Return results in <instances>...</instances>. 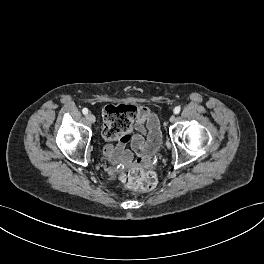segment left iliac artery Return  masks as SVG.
Returning a JSON list of instances; mask_svg holds the SVG:
<instances>
[{
	"label": "left iliac artery",
	"mask_w": 264,
	"mask_h": 264,
	"mask_svg": "<svg viewBox=\"0 0 264 264\" xmlns=\"http://www.w3.org/2000/svg\"><path fill=\"white\" fill-rule=\"evenodd\" d=\"M181 111V108L179 106L174 108V114H179Z\"/></svg>",
	"instance_id": "left-iliac-artery-1"
}]
</instances>
